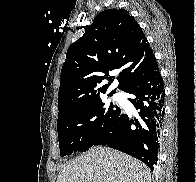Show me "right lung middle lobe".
<instances>
[{
	"label": "right lung middle lobe",
	"instance_id": "1",
	"mask_svg": "<svg viewBox=\"0 0 196 182\" xmlns=\"http://www.w3.org/2000/svg\"><path fill=\"white\" fill-rule=\"evenodd\" d=\"M120 112L119 107L106 105L99 96L60 113L57 120L60 155L87 151Z\"/></svg>",
	"mask_w": 196,
	"mask_h": 182
}]
</instances>
